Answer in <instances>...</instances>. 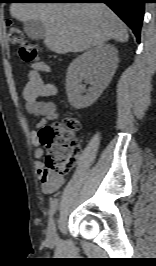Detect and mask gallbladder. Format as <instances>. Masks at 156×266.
I'll return each mask as SVG.
<instances>
[{
    "label": "gallbladder",
    "mask_w": 156,
    "mask_h": 266,
    "mask_svg": "<svg viewBox=\"0 0 156 266\" xmlns=\"http://www.w3.org/2000/svg\"><path fill=\"white\" fill-rule=\"evenodd\" d=\"M24 31L32 40H41L45 37V26L39 20H29L24 22Z\"/></svg>",
    "instance_id": "1"
}]
</instances>
